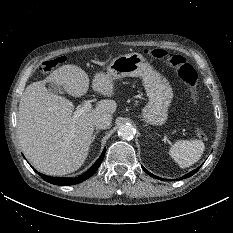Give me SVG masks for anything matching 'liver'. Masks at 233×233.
I'll return each instance as SVG.
<instances>
[{"mask_svg": "<svg viewBox=\"0 0 233 233\" xmlns=\"http://www.w3.org/2000/svg\"><path fill=\"white\" fill-rule=\"evenodd\" d=\"M48 82L63 86L73 97H81L88 91L89 77L76 65H63L44 80L28 85L19 102L17 132L26 158L39 172L62 176L82 166L92 142L94 119L113 114L117 104L101 100L96 108L75 117L73 103L48 91ZM92 89L111 97L114 80L107 73L97 72Z\"/></svg>", "mask_w": 233, "mask_h": 233, "instance_id": "6515ba94", "label": "liver"}]
</instances>
